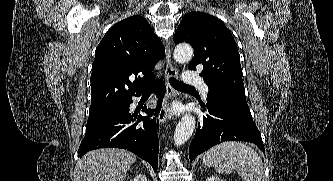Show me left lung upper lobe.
<instances>
[{
    "label": "left lung upper lobe",
    "mask_w": 333,
    "mask_h": 181,
    "mask_svg": "<svg viewBox=\"0 0 333 181\" xmlns=\"http://www.w3.org/2000/svg\"><path fill=\"white\" fill-rule=\"evenodd\" d=\"M174 42H188L194 49L190 70L203 66L209 94L220 102L249 110L237 44L231 32L216 17L203 12H190L180 22Z\"/></svg>",
    "instance_id": "left-lung-upper-lobe-1"
}]
</instances>
